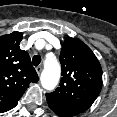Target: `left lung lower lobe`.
I'll list each match as a JSON object with an SVG mask.
<instances>
[{"mask_svg":"<svg viewBox=\"0 0 117 117\" xmlns=\"http://www.w3.org/2000/svg\"><path fill=\"white\" fill-rule=\"evenodd\" d=\"M47 102L51 110L60 117H72L80 114V112L65 103L54 101L51 99H47Z\"/></svg>","mask_w":117,"mask_h":117,"instance_id":"obj_1","label":"left lung lower lobe"}]
</instances>
